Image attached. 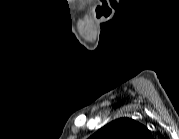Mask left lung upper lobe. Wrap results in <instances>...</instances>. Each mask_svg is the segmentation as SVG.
Instances as JSON below:
<instances>
[{"instance_id": "left-lung-upper-lobe-1", "label": "left lung upper lobe", "mask_w": 179, "mask_h": 139, "mask_svg": "<svg viewBox=\"0 0 179 139\" xmlns=\"http://www.w3.org/2000/svg\"><path fill=\"white\" fill-rule=\"evenodd\" d=\"M93 136L97 139H144L150 136V131L131 118H119L99 129Z\"/></svg>"}]
</instances>
